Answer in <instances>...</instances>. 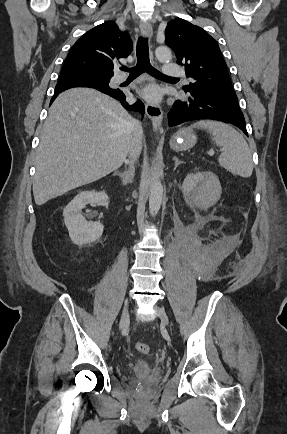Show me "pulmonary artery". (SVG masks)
<instances>
[{"label": "pulmonary artery", "mask_w": 287, "mask_h": 434, "mask_svg": "<svg viewBox=\"0 0 287 434\" xmlns=\"http://www.w3.org/2000/svg\"><path fill=\"white\" fill-rule=\"evenodd\" d=\"M164 74L171 77H177V76H184L185 72L184 69L181 66L166 63L164 64ZM126 80L124 75H118L116 77V81L118 83H122Z\"/></svg>", "instance_id": "pulmonary-artery-1"}]
</instances>
